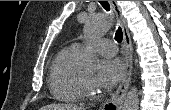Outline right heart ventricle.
<instances>
[{
    "instance_id": "1",
    "label": "right heart ventricle",
    "mask_w": 171,
    "mask_h": 110,
    "mask_svg": "<svg viewBox=\"0 0 171 110\" xmlns=\"http://www.w3.org/2000/svg\"><path fill=\"white\" fill-rule=\"evenodd\" d=\"M80 50L75 46L62 49L54 58L49 72V87L52 95L60 101L77 103L84 99L78 85L76 65Z\"/></svg>"
}]
</instances>
